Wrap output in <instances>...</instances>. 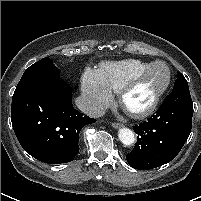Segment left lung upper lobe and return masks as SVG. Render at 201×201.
I'll return each instance as SVG.
<instances>
[{
	"label": "left lung upper lobe",
	"mask_w": 201,
	"mask_h": 201,
	"mask_svg": "<svg viewBox=\"0 0 201 201\" xmlns=\"http://www.w3.org/2000/svg\"><path fill=\"white\" fill-rule=\"evenodd\" d=\"M182 88H189V86L185 77L179 71H177V79L175 81L173 91L182 89Z\"/></svg>",
	"instance_id": "5c2ea615"
}]
</instances>
